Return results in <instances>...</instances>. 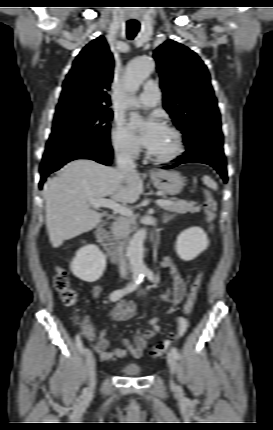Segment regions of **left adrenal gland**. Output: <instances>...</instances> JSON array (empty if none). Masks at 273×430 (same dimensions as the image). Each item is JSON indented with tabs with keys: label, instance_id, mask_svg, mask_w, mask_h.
<instances>
[{
	"label": "left adrenal gland",
	"instance_id": "a2214340",
	"mask_svg": "<svg viewBox=\"0 0 273 430\" xmlns=\"http://www.w3.org/2000/svg\"><path fill=\"white\" fill-rule=\"evenodd\" d=\"M171 218H172V216H166L165 220L167 221V220H169Z\"/></svg>",
	"mask_w": 273,
	"mask_h": 430
}]
</instances>
